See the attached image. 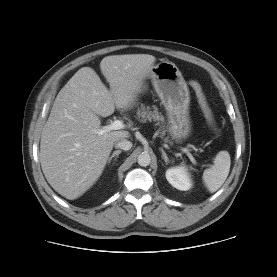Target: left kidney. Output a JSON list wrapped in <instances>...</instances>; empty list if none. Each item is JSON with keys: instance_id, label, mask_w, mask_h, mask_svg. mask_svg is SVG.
Instances as JSON below:
<instances>
[{"instance_id": "1", "label": "left kidney", "mask_w": 277, "mask_h": 277, "mask_svg": "<svg viewBox=\"0 0 277 277\" xmlns=\"http://www.w3.org/2000/svg\"><path fill=\"white\" fill-rule=\"evenodd\" d=\"M165 175L167 181L178 190L187 191L192 187V182L185 166L169 168Z\"/></svg>"}]
</instances>
